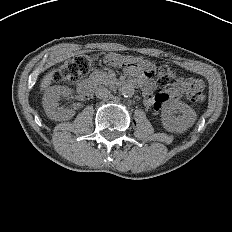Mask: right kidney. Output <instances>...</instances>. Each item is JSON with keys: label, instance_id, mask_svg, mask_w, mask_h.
I'll return each mask as SVG.
<instances>
[{"label": "right kidney", "instance_id": "ca27d5eb", "mask_svg": "<svg viewBox=\"0 0 232 232\" xmlns=\"http://www.w3.org/2000/svg\"><path fill=\"white\" fill-rule=\"evenodd\" d=\"M70 95H72V89L67 86L55 85L49 87L45 91L42 104L49 119L55 121H67L75 115L73 109H66L59 106L60 97H67Z\"/></svg>", "mask_w": 232, "mask_h": 232}]
</instances>
